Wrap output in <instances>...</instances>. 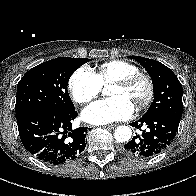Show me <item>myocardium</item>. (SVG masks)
Wrapping results in <instances>:
<instances>
[{"label":"myocardium","instance_id":"obj_1","mask_svg":"<svg viewBox=\"0 0 196 196\" xmlns=\"http://www.w3.org/2000/svg\"><path fill=\"white\" fill-rule=\"evenodd\" d=\"M139 81H143L147 88L145 98L136 105L137 110H143L151 104L154 98V94H155L154 81L150 75L146 73H142V72H137V73L122 77L120 79H117L111 83L112 85H117V86H121L124 88H128V87L133 86Z\"/></svg>","mask_w":196,"mask_h":196}]
</instances>
